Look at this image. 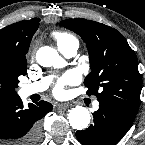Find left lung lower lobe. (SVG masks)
I'll list each match as a JSON object with an SVG mask.
<instances>
[{"instance_id": "obj_1", "label": "left lung lower lobe", "mask_w": 145, "mask_h": 145, "mask_svg": "<svg viewBox=\"0 0 145 145\" xmlns=\"http://www.w3.org/2000/svg\"><path fill=\"white\" fill-rule=\"evenodd\" d=\"M136 113L113 104H100L94 123L76 137L83 145H115L126 134Z\"/></svg>"}]
</instances>
